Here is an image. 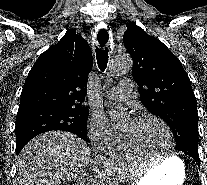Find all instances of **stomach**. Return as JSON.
I'll return each mask as SVG.
<instances>
[{
	"label": "stomach",
	"instance_id": "stomach-1",
	"mask_svg": "<svg viewBox=\"0 0 207 185\" xmlns=\"http://www.w3.org/2000/svg\"><path fill=\"white\" fill-rule=\"evenodd\" d=\"M185 164L177 156H171L152 167L137 185H182Z\"/></svg>",
	"mask_w": 207,
	"mask_h": 185
}]
</instances>
